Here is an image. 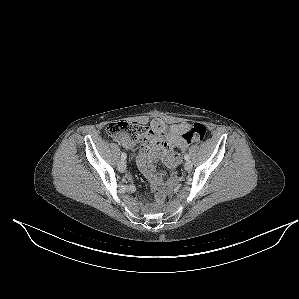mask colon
I'll return each mask as SVG.
<instances>
[{
	"label": "colon",
	"instance_id": "colon-1",
	"mask_svg": "<svg viewBox=\"0 0 299 299\" xmlns=\"http://www.w3.org/2000/svg\"><path fill=\"white\" fill-rule=\"evenodd\" d=\"M148 127L131 123V122H113L108 125L106 133L109 137L115 139H125L130 142H136L140 138L148 134ZM207 133V128L202 123H195L190 125L187 132L184 134V139L187 143H200L204 140ZM170 199V192L168 190L157 191L155 196V204L161 205Z\"/></svg>",
	"mask_w": 299,
	"mask_h": 299
}]
</instances>
